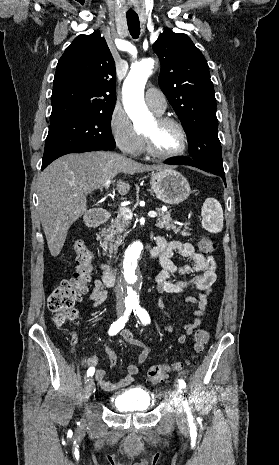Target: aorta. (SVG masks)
Masks as SVG:
<instances>
[{
  "label": "aorta",
  "instance_id": "obj_1",
  "mask_svg": "<svg viewBox=\"0 0 279 465\" xmlns=\"http://www.w3.org/2000/svg\"><path fill=\"white\" fill-rule=\"evenodd\" d=\"M153 67L154 60L152 59H146L133 65L123 83L124 109L136 129H141L151 118L144 101V88ZM142 250V243L140 241L134 242L125 252L123 260L122 280L127 288L128 299L132 302L137 301L138 298L139 276L137 266Z\"/></svg>",
  "mask_w": 279,
  "mask_h": 465
}]
</instances>
